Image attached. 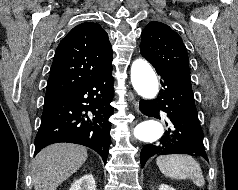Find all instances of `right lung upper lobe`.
Here are the masks:
<instances>
[{"label":"right lung upper lobe","mask_w":238,"mask_h":190,"mask_svg":"<svg viewBox=\"0 0 238 190\" xmlns=\"http://www.w3.org/2000/svg\"><path fill=\"white\" fill-rule=\"evenodd\" d=\"M112 54L108 34L98 23L74 27L56 49L44 101L59 98L112 69Z\"/></svg>","instance_id":"obj_1"}]
</instances>
